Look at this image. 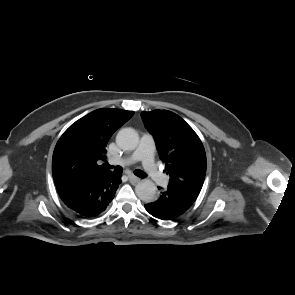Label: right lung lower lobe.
Here are the masks:
<instances>
[{
  "mask_svg": "<svg viewBox=\"0 0 295 295\" xmlns=\"http://www.w3.org/2000/svg\"><path fill=\"white\" fill-rule=\"evenodd\" d=\"M121 182V175L112 172L86 184L57 187V191L70 209L84 218H93L106 209Z\"/></svg>",
  "mask_w": 295,
  "mask_h": 295,
  "instance_id": "98d812e1",
  "label": "right lung lower lobe"
}]
</instances>
